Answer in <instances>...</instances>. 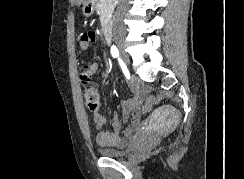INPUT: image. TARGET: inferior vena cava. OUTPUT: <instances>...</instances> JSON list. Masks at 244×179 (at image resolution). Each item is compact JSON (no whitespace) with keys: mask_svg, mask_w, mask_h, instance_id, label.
Here are the masks:
<instances>
[{"mask_svg":"<svg viewBox=\"0 0 244 179\" xmlns=\"http://www.w3.org/2000/svg\"><path fill=\"white\" fill-rule=\"evenodd\" d=\"M121 12H117L116 14V20L114 22V34H118V32H122L123 26L121 24V20L119 18Z\"/></svg>","mask_w":244,"mask_h":179,"instance_id":"1","label":"inferior vena cava"}]
</instances>
